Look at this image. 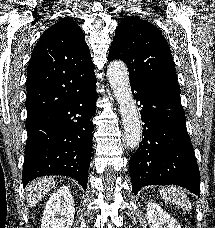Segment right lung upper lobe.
Returning a JSON list of instances; mask_svg holds the SVG:
<instances>
[{"label":"right lung upper lobe","instance_id":"obj_1","mask_svg":"<svg viewBox=\"0 0 215 228\" xmlns=\"http://www.w3.org/2000/svg\"><path fill=\"white\" fill-rule=\"evenodd\" d=\"M94 74L84 34L65 18L49 27L33 49L27 69V121L63 103L74 83Z\"/></svg>","mask_w":215,"mask_h":228}]
</instances>
